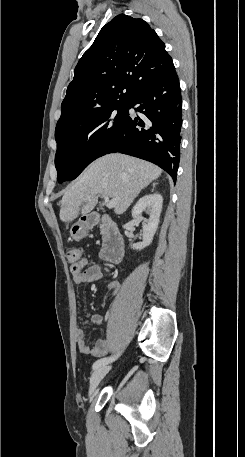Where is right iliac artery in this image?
<instances>
[{"label": "right iliac artery", "instance_id": "1", "mask_svg": "<svg viewBox=\"0 0 245 457\" xmlns=\"http://www.w3.org/2000/svg\"><path fill=\"white\" fill-rule=\"evenodd\" d=\"M118 356V355H117ZM117 356H114V357H104V358H100L98 359L96 362H94L93 364V369H97L103 365H106L108 364L109 362H112L113 360H115V358H117Z\"/></svg>", "mask_w": 245, "mask_h": 457}]
</instances>
